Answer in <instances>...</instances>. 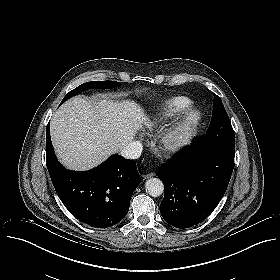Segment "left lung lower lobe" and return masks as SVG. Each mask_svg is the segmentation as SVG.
I'll use <instances>...</instances> for the list:
<instances>
[{
    "mask_svg": "<svg viewBox=\"0 0 280 280\" xmlns=\"http://www.w3.org/2000/svg\"><path fill=\"white\" fill-rule=\"evenodd\" d=\"M234 156L232 150L192 145L161 166L157 175L165 184L164 220L180 229L205 220L225 194Z\"/></svg>",
    "mask_w": 280,
    "mask_h": 280,
    "instance_id": "obj_1",
    "label": "left lung lower lobe"
}]
</instances>
